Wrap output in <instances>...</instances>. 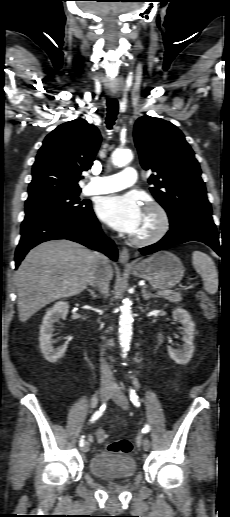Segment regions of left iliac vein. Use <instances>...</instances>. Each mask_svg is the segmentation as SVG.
Segmentation results:
<instances>
[{
  "mask_svg": "<svg viewBox=\"0 0 230 517\" xmlns=\"http://www.w3.org/2000/svg\"><path fill=\"white\" fill-rule=\"evenodd\" d=\"M111 398L113 401L123 409H128V400L119 387H114L111 390ZM138 443L144 451H148L150 448V441L147 437H140Z\"/></svg>",
  "mask_w": 230,
  "mask_h": 517,
  "instance_id": "obj_1",
  "label": "left iliac vein"
}]
</instances>
